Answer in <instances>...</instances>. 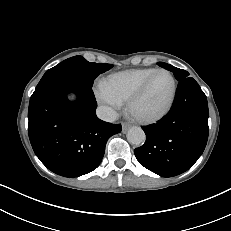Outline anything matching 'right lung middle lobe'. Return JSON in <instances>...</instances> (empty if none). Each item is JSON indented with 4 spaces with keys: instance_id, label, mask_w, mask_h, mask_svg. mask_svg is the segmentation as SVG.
Instances as JSON below:
<instances>
[{
    "instance_id": "obj_1",
    "label": "right lung middle lobe",
    "mask_w": 231,
    "mask_h": 231,
    "mask_svg": "<svg viewBox=\"0 0 231 231\" xmlns=\"http://www.w3.org/2000/svg\"><path fill=\"white\" fill-rule=\"evenodd\" d=\"M113 65L106 63H91L82 56H74L64 60L46 71L33 94H36L51 84L61 80H71L92 88L94 79L101 73L111 69Z\"/></svg>"
}]
</instances>
